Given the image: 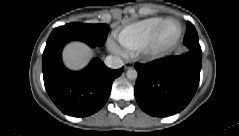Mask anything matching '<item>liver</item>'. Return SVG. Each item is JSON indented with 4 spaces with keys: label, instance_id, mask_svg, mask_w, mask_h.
I'll return each instance as SVG.
<instances>
[{
    "label": "liver",
    "instance_id": "obj_1",
    "mask_svg": "<svg viewBox=\"0 0 239 136\" xmlns=\"http://www.w3.org/2000/svg\"><path fill=\"white\" fill-rule=\"evenodd\" d=\"M95 56V51L81 41L69 42L63 51V60L72 70L84 68Z\"/></svg>",
    "mask_w": 239,
    "mask_h": 136
}]
</instances>
